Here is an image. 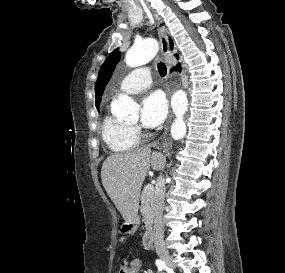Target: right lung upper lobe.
Instances as JSON below:
<instances>
[{
  "label": "right lung upper lobe",
  "mask_w": 285,
  "mask_h": 273,
  "mask_svg": "<svg viewBox=\"0 0 285 273\" xmlns=\"http://www.w3.org/2000/svg\"><path fill=\"white\" fill-rule=\"evenodd\" d=\"M170 42H171L170 48L172 49V47H173V43H172V41H171V40H170ZM175 56H177V55H175Z\"/></svg>",
  "instance_id": "right-lung-upper-lobe-1"
}]
</instances>
